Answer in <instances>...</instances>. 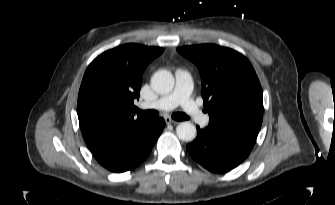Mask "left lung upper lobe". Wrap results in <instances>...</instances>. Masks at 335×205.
<instances>
[{
    "label": "left lung upper lobe",
    "mask_w": 335,
    "mask_h": 205,
    "mask_svg": "<svg viewBox=\"0 0 335 205\" xmlns=\"http://www.w3.org/2000/svg\"><path fill=\"white\" fill-rule=\"evenodd\" d=\"M177 51L200 71L209 124L256 140L263 119V97L248 59L214 44L185 46Z\"/></svg>",
    "instance_id": "5c2ea615"
}]
</instances>
